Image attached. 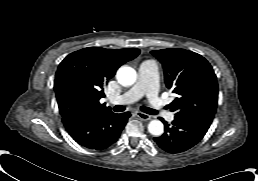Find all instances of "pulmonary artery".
<instances>
[{
  "label": "pulmonary artery",
  "instance_id": "pulmonary-artery-1",
  "mask_svg": "<svg viewBox=\"0 0 258 181\" xmlns=\"http://www.w3.org/2000/svg\"><path fill=\"white\" fill-rule=\"evenodd\" d=\"M158 67L155 61L147 60L140 64L138 69V80L124 94L110 99L113 104H128L138 101L141 97L147 96L151 109L157 113L164 111V101L158 96ZM169 120L173 115L169 114Z\"/></svg>",
  "mask_w": 258,
  "mask_h": 181
}]
</instances>
